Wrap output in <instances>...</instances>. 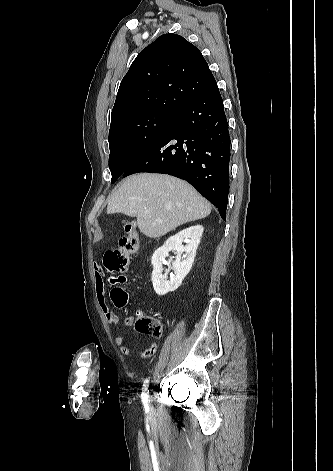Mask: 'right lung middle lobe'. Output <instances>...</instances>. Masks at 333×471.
Segmentation results:
<instances>
[{
	"label": "right lung middle lobe",
	"mask_w": 333,
	"mask_h": 471,
	"mask_svg": "<svg viewBox=\"0 0 333 471\" xmlns=\"http://www.w3.org/2000/svg\"><path fill=\"white\" fill-rule=\"evenodd\" d=\"M175 114L145 111L124 116L111 123L109 169L114 183L174 119Z\"/></svg>",
	"instance_id": "dd1d6c3e"
}]
</instances>
